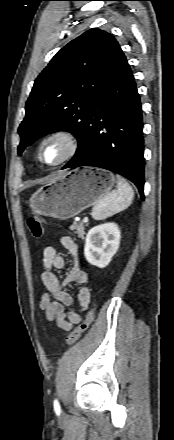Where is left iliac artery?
I'll return each instance as SVG.
<instances>
[{
    "label": "left iliac artery",
    "instance_id": "left-iliac-artery-1",
    "mask_svg": "<svg viewBox=\"0 0 174 440\" xmlns=\"http://www.w3.org/2000/svg\"><path fill=\"white\" fill-rule=\"evenodd\" d=\"M54 410L58 413L60 412V405L57 400L54 401Z\"/></svg>",
    "mask_w": 174,
    "mask_h": 440
}]
</instances>
